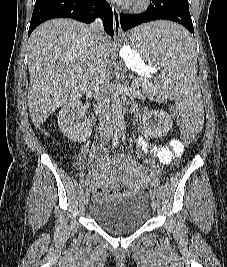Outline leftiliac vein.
I'll list each match as a JSON object with an SVG mask.
<instances>
[{"instance_id": "1", "label": "left iliac vein", "mask_w": 227, "mask_h": 267, "mask_svg": "<svg viewBox=\"0 0 227 267\" xmlns=\"http://www.w3.org/2000/svg\"><path fill=\"white\" fill-rule=\"evenodd\" d=\"M149 197H150V200H151V206L155 210L157 208V206H158V203H157V200H156V197H155V193L153 191H149Z\"/></svg>"}]
</instances>
